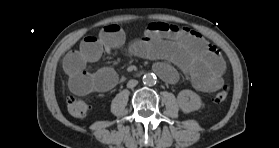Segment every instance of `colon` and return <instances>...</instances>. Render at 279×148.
I'll return each mask as SVG.
<instances>
[{"label":"colon","mask_w":279,"mask_h":148,"mask_svg":"<svg viewBox=\"0 0 279 148\" xmlns=\"http://www.w3.org/2000/svg\"><path fill=\"white\" fill-rule=\"evenodd\" d=\"M227 97H228V87L223 86L214 95V100L216 102H222ZM67 110L72 116L77 117V118H83L89 112V105L83 99H81L79 97L71 96L67 99Z\"/></svg>","instance_id":"obj_1"}]
</instances>
